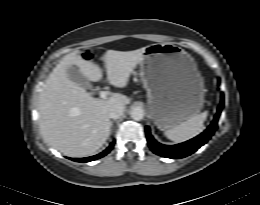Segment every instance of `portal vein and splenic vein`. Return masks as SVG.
Masks as SVG:
<instances>
[{"label": "portal vein and splenic vein", "instance_id": "portal-vein-and-splenic-vein-1", "mask_svg": "<svg viewBox=\"0 0 260 205\" xmlns=\"http://www.w3.org/2000/svg\"><path fill=\"white\" fill-rule=\"evenodd\" d=\"M100 97L102 98V99H107V96H108V92L107 91H100ZM89 95H91L90 93H89Z\"/></svg>", "mask_w": 260, "mask_h": 205}]
</instances>
